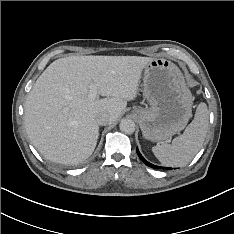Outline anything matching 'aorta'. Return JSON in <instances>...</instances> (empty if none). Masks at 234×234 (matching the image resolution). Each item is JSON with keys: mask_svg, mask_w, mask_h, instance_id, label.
I'll return each mask as SVG.
<instances>
[{"mask_svg": "<svg viewBox=\"0 0 234 234\" xmlns=\"http://www.w3.org/2000/svg\"><path fill=\"white\" fill-rule=\"evenodd\" d=\"M119 127L126 134H132L135 131V123L131 119H122Z\"/></svg>", "mask_w": 234, "mask_h": 234, "instance_id": "1", "label": "aorta"}]
</instances>
